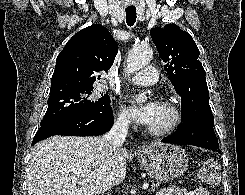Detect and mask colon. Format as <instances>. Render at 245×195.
<instances>
[{
	"label": "colon",
	"mask_w": 245,
	"mask_h": 195,
	"mask_svg": "<svg viewBox=\"0 0 245 195\" xmlns=\"http://www.w3.org/2000/svg\"><path fill=\"white\" fill-rule=\"evenodd\" d=\"M200 179L210 185H217L220 181L219 162L215 158L206 160L202 169L199 171Z\"/></svg>",
	"instance_id": "1"
}]
</instances>
